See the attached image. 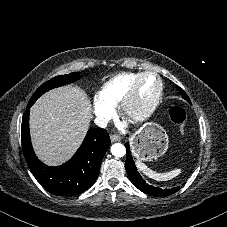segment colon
Listing matches in <instances>:
<instances>
[{"instance_id":"5ec220e1","label":"colon","mask_w":227,"mask_h":227,"mask_svg":"<svg viewBox=\"0 0 227 227\" xmlns=\"http://www.w3.org/2000/svg\"><path fill=\"white\" fill-rule=\"evenodd\" d=\"M170 118L177 126L184 127L187 122L188 114L184 108L174 104L170 109Z\"/></svg>"}]
</instances>
